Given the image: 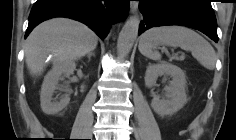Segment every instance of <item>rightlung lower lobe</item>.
Segmentation results:
<instances>
[{
	"label": "right lung lower lobe",
	"mask_w": 236,
	"mask_h": 140,
	"mask_svg": "<svg viewBox=\"0 0 236 140\" xmlns=\"http://www.w3.org/2000/svg\"><path fill=\"white\" fill-rule=\"evenodd\" d=\"M129 11V0H37L29 16L25 38L44 20L67 17L88 25L102 39L111 24L124 20Z\"/></svg>",
	"instance_id": "obj_1"
}]
</instances>
